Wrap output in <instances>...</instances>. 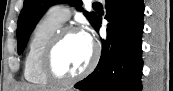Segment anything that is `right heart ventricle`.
<instances>
[{"instance_id": "obj_1", "label": "right heart ventricle", "mask_w": 173, "mask_h": 91, "mask_svg": "<svg viewBox=\"0 0 173 91\" xmlns=\"http://www.w3.org/2000/svg\"><path fill=\"white\" fill-rule=\"evenodd\" d=\"M62 26L51 12L46 13L35 25L31 34L24 61V77L31 84L46 86L49 81L40 70V58L45 45Z\"/></svg>"}]
</instances>
